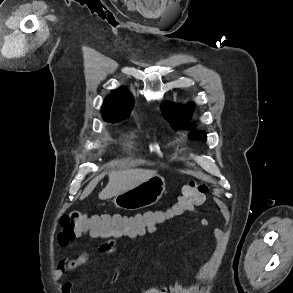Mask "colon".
Instances as JSON below:
<instances>
[{
    "mask_svg": "<svg viewBox=\"0 0 293 293\" xmlns=\"http://www.w3.org/2000/svg\"><path fill=\"white\" fill-rule=\"evenodd\" d=\"M208 191L205 183L190 181L182 187L176 202L166 211H155L144 219L121 214L88 215L80 211H70L60 217L58 242L65 245L84 234L96 238L137 232L164 223L167 219L181 216L194 210L203 202ZM155 293L153 289H147Z\"/></svg>",
    "mask_w": 293,
    "mask_h": 293,
    "instance_id": "colon-1",
    "label": "colon"
}]
</instances>
